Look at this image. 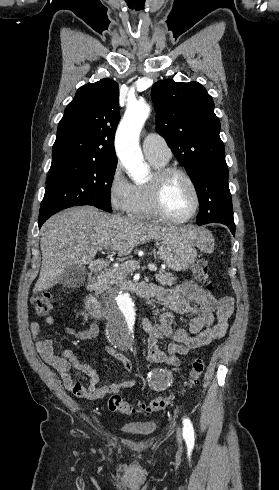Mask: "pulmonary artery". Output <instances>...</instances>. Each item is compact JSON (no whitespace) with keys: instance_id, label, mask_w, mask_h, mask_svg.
Wrapping results in <instances>:
<instances>
[{"instance_id":"e3ab8cb5","label":"pulmonary artery","mask_w":279,"mask_h":490,"mask_svg":"<svg viewBox=\"0 0 279 490\" xmlns=\"http://www.w3.org/2000/svg\"><path fill=\"white\" fill-rule=\"evenodd\" d=\"M142 149L147 159L160 164L166 163L172 157V152L165 138L157 132H149L145 135Z\"/></svg>"}]
</instances>
